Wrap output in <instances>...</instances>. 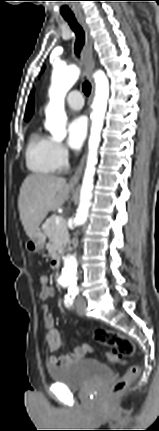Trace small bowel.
<instances>
[{
    "label": "small bowel",
    "instance_id": "1",
    "mask_svg": "<svg viewBox=\"0 0 159 431\" xmlns=\"http://www.w3.org/2000/svg\"><path fill=\"white\" fill-rule=\"evenodd\" d=\"M49 274L42 272L40 273V298L45 301L49 296L48 287L49 283ZM43 322L44 329L46 331V343L50 353H54L59 349L60 346V338L59 334L55 328L54 320L48 305L43 306ZM91 347L87 344H82L75 347L70 353L64 356H55L51 355L47 360V365L50 366H63L68 363H71L77 359L84 357L86 354L90 353Z\"/></svg>",
    "mask_w": 159,
    "mask_h": 431
}]
</instances>
